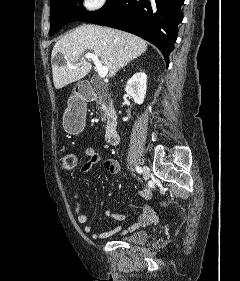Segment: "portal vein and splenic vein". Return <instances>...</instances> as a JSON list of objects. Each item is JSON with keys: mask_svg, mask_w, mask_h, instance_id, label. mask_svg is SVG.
I'll return each mask as SVG.
<instances>
[{"mask_svg": "<svg viewBox=\"0 0 240 281\" xmlns=\"http://www.w3.org/2000/svg\"><path fill=\"white\" fill-rule=\"evenodd\" d=\"M85 58L88 59V60H92L94 65H95V69L98 71V75L101 77V78H104L107 76L108 74V68L105 67V66H102V63L101 61L99 60L98 56L93 54V53H87L85 54ZM70 67H73L75 68L76 66H71L69 65Z\"/></svg>", "mask_w": 240, "mask_h": 281, "instance_id": "1", "label": "portal vein and splenic vein"}]
</instances>
